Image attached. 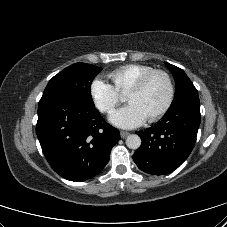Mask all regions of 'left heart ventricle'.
<instances>
[{
    "instance_id": "1",
    "label": "left heart ventricle",
    "mask_w": 227,
    "mask_h": 227,
    "mask_svg": "<svg viewBox=\"0 0 227 227\" xmlns=\"http://www.w3.org/2000/svg\"><path fill=\"white\" fill-rule=\"evenodd\" d=\"M167 97L168 85L166 79L161 75H156L142 90L130 93L126 98L129 103L138 106L148 118L163 107Z\"/></svg>"
}]
</instances>
